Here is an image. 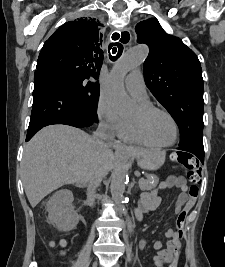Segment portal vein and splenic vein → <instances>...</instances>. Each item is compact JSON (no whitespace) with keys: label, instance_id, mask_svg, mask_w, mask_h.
Segmentation results:
<instances>
[{"label":"portal vein and splenic vein","instance_id":"portal-vein-and-splenic-vein-1","mask_svg":"<svg viewBox=\"0 0 225 267\" xmlns=\"http://www.w3.org/2000/svg\"><path fill=\"white\" fill-rule=\"evenodd\" d=\"M142 180H143V179H140V180H139V184L142 182Z\"/></svg>","mask_w":225,"mask_h":267}]
</instances>
